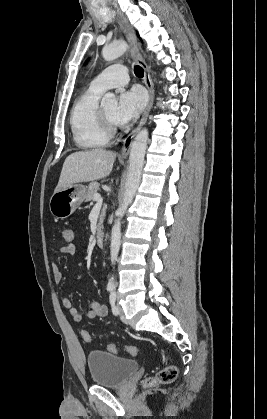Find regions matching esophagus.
Instances as JSON below:
<instances>
[{
  "label": "esophagus",
  "instance_id": "1",
  "mask_svg": "<svg viewBox=\"0 0 267 419\" xmlns=\"http://www.w3.org/2000/svg\"><path fill=\"white\" fill-rule=\"evenodd\" d=\"M118 17L120 19L122 27L124 28V32L126 34L127 40L132 46L133 52L134 54H136L138 62L140 63L141 67L144 70V83L149 92V102L138 126L124 140V144H123L120 156L122 158H126L129 155V152L131 150V145H132L135 135L139 132V130L142 128V126L145 124L147 120L148 114L151 110V107L154 101L155 89H154V84L151 78L150 69L148 65L146 64L144 58L140 55L138 43H137V40H136V37L134 35L132 28L130 27L127 19L120 12H118Z\"/></svg>",
  "mask_w": 267,
  "mask_h": 419
}]
</instances>
